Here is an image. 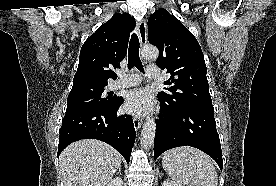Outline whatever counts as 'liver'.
Returning <instances> with one entry per match:
<instances>
[{"mask_svg": "<svg viewBox=\"0 0 276 186\" xmlns=\"http://www.w3.org/2000/svg\"><path fill=\"white\" fill-rule=\"evenodd\" d=\"M121 165V155L94 139L76 141L59 158L65 186H106Z\"/></svg>", "mask_w": 276, "mask_h": 186, "instance_id": "obj_1", "label": "liver"}]
</instances>
